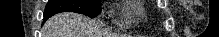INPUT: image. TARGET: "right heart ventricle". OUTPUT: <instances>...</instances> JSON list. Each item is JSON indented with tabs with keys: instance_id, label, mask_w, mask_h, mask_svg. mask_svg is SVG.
<instances>
[{
	"instance_id": "e07e8e85",
	"label": "right heart ventricle",
	"mask_w": 219,
	"mask_h": 37,
	"mask_svg": "<svg viewBox=\"0 0 219 37\" xmlns=\"http://www.w3.org/2000/svg\"><path fill=\"white\" fill-rule=\"evenodd\" d=\"M148 11V7L141 1H130L125 8V14L127 17L126 23L136 21L137 19H143Z\"/></svg>"
}]
</instances>
